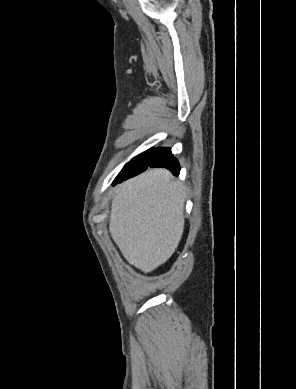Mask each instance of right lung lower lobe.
Wrapping results in <instances>:
<instances>
[{
    "label": "right lung lower lobe",
    "mask_w": 296,
    "mask_h": 389,
    "mask_svg": "<svg viewBox=\"0 0 296 389\" xmlns=\"http://www.w3.org/2000/svg\"><path fill=\"white\" fill-rule=\"evenodd\" d=\"M148 167L167 168L173 173V175H178L180 171L179 163L173 157L170 148H157L148 156L146 166L142 168H123L115 178L113 185L138 175L139 173L145 171Z\"/></svg>",
    "instance_id": "98d812e1"
}]
</instances>
